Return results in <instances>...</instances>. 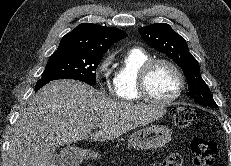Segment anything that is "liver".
I'll return each instance as SVG.
<instances>
[{
    "label": "liver",
    "instance_id": "liver-1",
    "mask_svg": "<svg viewBox=\"0 0 231 166\" xmlns=\"http://www.w3.org/2000/svg\"><path fill=\"white\" fill-rule=\"evenodd\" d=\"M165 113L160 106L113 101L79 81H52L20 113L10 138L9 164L48 166L58 145L89 137L113 140Z\"/></svg>",
    "mask_w": 231,
    "mask_h": 166
}]
</instances>
